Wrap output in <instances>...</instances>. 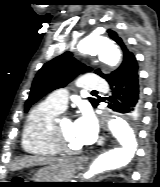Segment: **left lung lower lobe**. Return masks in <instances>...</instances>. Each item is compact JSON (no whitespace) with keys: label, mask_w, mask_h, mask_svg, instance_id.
<instances>
[{"label":"left lung lower lobe","mask_w":160,"mask_h":187,"mask_svg":"<svg viewBox=\"0 0 160 187\" xmlns=\"http://www.w3.org/2000/svg\"><path fill=\"white\" fill-rule=\"evenodd\" d=\"M111 95L109 108L124 114L130 121L140 119L143 101L139 81L138 64L134 55L130 56L119 74L108 80Z\"/></svg>","instance_id":"1"}]
</instances>
